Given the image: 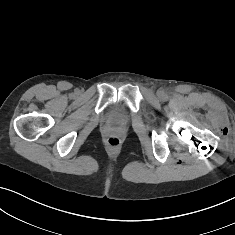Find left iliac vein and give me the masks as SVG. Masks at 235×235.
<instances>
[{
	"label": "left iliac vein",
	"instance_id": "left-iliac-vein-1",
	"mask_svg": "<svg viewBox=\"0 0 235 235\" xmlns=\"http://www.w3.org/2000/svg\"><path fill=\"white\" fill-rule=\"evenodd\" d=\"M157 95H158L159 98H162L164 94H163L162 91H158V92H157Z\"/></svg>",
	"mask_w": 235,
	"mask_h": 235
}]
</instances>
